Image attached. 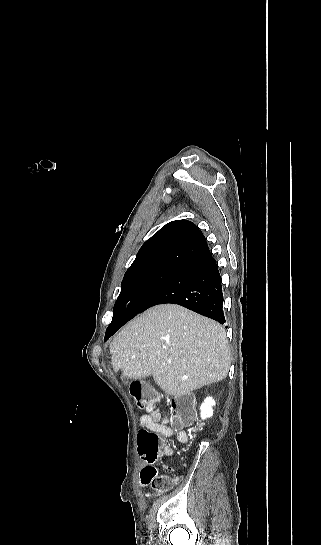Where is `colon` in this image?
I'll list each match as a JSON object with an SVG mask.
<instances>
[{
  "label": "colon",
  "instance_id": "colon-1",
  "mask_svg": "<svg viewBox=\"0 0 321 545\" xmlns=\"http://www.w3.org/2000/svg\"><path fill=\"white\" fill-rule=\"evenodd\" d=\"M129 391L137 405L152 414L158 400L157 393L148 384L141 381H133L129 385ZM173 408L177 412L176 424L188 425L195 421V410L189 399H179L173 403ZM138 445L141 454L147 460H155L159 453L160 437L157 433L148 429H141L138 434ZM179 481L178 475H151L149 484L152 487L153 494L158 495L166 492Z\"/></svg>",
  "mask_w": 321,
  "mask_h": 545
}]
</instances>
